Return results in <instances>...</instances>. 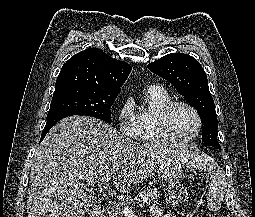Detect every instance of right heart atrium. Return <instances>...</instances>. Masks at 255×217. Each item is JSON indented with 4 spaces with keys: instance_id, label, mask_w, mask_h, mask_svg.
<instances>
[{
    "instance_id": "right-heart-atrium-1",
    "label": "right heart atrium",
    "mask_w": 255,
    "mask_h": 217,
    "mask_svg": "<svg viewBox=\"0 0 255 217\" xmlns=\"http://www.w3.org/2000/svg\"><path fill=\"white\" fill-rule=\"evenodd\" d=\"M117 126L119 132L124 136H136L137 118L134 105L130 99L124 100L117 111Z\"/></svg>"
}]
</instances>
